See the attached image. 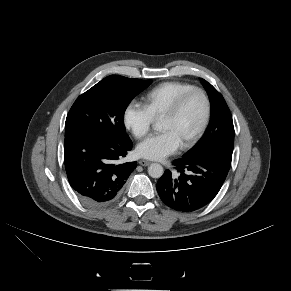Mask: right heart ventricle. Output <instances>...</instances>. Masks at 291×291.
<instances>
[{
  "mask_svg": "<svg viewBox=\"0 0 291 291\" xmlns=\"http://www.w3.org/2000/svg\"><path fill=\"white\" fill-rule=\"evenodd\" d=\"M192 88V84L181 81L160 83L143 96V106L153 119H158L179 96Z\"/></svg>",
  "mask_w": 291,
  "mask_h": 291,
  "instance_id": "right-heart-ventricle-1",
  "label": "right heart ventricle"
}]
</instances>
